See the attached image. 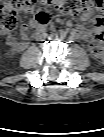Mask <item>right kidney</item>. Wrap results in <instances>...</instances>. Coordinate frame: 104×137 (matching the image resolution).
Returning a JSON list of instances; mask_svg holds the SVG:
<instances>
[{"label":"right kidney","mask_w":104,"mask_h":137,"mask_svg":"<svg viewBox=\"0 0 104 137\" xmlns=\"http://www.w3.org/2000/svg\"><path fill=\"white\" fill-rule=\"evenodd\" d=\"M13 54H14V52H13V50H12L11 55H13Z\"/></svg>","instance_id":"ca27d5eb"}]
</instances>
